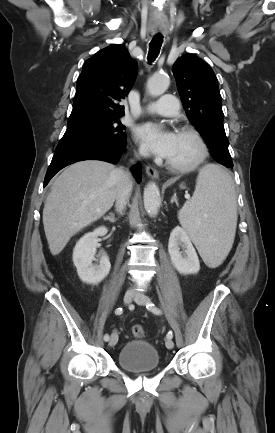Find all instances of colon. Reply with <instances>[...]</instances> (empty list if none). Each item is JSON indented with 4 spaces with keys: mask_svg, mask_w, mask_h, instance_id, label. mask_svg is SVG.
Here are the masks:
<instances>
[{
    "mask_svg": "<svg viewBox=\"0 0 275 433\" xmlns=\"http://www.w3.org/2000/svg\"><path fill=\"white\" fill-rule=\"evenodd\" d=\"M132 333L137 338H143L146 335V332L141 325H134L132 328Z\"/></svg>",
    "mask_w": 275,
    "mask_h": 433,
    "instance_id": "1",
    "label": "colon"
}]
</instances>
